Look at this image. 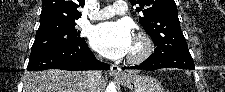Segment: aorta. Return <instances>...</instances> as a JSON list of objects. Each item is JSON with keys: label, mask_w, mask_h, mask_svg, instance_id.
I'll list each match as a JSON object with an SVG mask.
<instances>
[{"label": "aorta", "mask_w": 225, "mask_h": 92, "mask_svg": "<svg viewBox=\"0 0 225 92\" xmlns=\"http://www.w3.org/2000/svg\"><path fill=\"white\" fill-rule=\"evenodd\" d=\"M106 92H116V85L114 82L108 84Z\"/></svg>", "instance_id": "obj_1"}]
</instances>
